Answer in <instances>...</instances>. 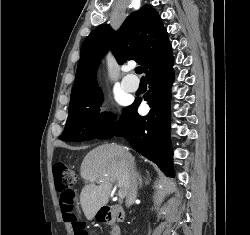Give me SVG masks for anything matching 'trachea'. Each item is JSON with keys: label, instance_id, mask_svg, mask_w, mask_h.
Instances as JSON below:
<instances>
[{"label": "trachea", "instance_id": "3493384b", "mask_svg": "<svg viewBox=\"0 0 250 235\" xmlns=\"http://www.w3.org/2000/svg\"><path fill=\"white\" fill-rule=\"evenodd\" d=\"M135 72H136L137 74H141V73H142V67H141V66L136 67V68H135Z\"/></svg>", "mask_w": 250, "mask_h": 235}]
</instances>
